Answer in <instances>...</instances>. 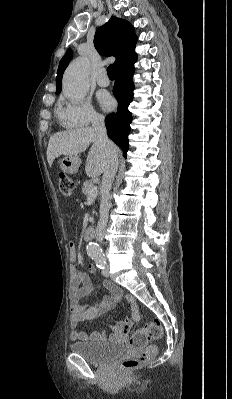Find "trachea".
<instances>
[{"label":"trachea","mask_w":232,"mask_h":399,"mask_svg":"<svg viewBox=\"0 0 232 399\" xmlns=\"http://www.w3.org/2000/svg\"><path fill=\"white\" fill-rule=\"evenodd\" d=\"M108 77H115L114 67L113 65H109L107 68Z\"/></svg>","instance_id":"trachea-1"}]
</instances>
